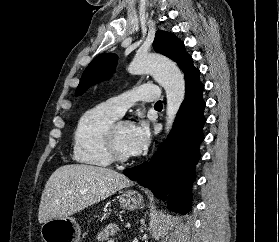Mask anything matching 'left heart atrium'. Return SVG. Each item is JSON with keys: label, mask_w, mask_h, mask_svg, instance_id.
Returning <instances> with one entry per match:
<instances>
[{"label": "left heart atrium", "mask_w": 279, "mask_h": 242, "mask_svg": "<svg viewBox=\"0 0 279 242\" xmlns=\"http://www.w3.org/2000/svg\"><path fill=\"white\" fill-rule=\"evenodd\" d=\"M150 131L148 124L141 120L133 124L130 129L128 150L131 155H139L149 144Z\"/></svg>", "instance_id": "obj_1"}]
</instances>
